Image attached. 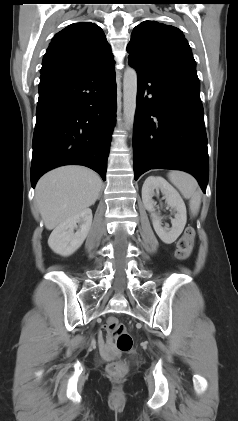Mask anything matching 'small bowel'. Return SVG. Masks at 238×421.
Segmentation results:
<instances>
[{
  "mask_svg": "<svg viewBox=\"0 0 238 421\" xmlns=\"http://www.w3.org/2000/svg\"><path fill=\"white\" fill-rule=\"evenodd\" d=\"M99 345H100L101 351L106 355L110 354L113 351L111 343L109 342V340L105 339L103 336H100L99 338Z\"/></svg>",
  "mask_w": 238,
  "mask_h": 421,
  "instance_id": "obj_1",
  "label": "small bowel"
}]
</instances>
